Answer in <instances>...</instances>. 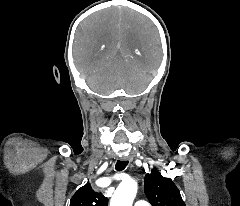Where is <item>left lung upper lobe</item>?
<instances>
[{"instance_id": "obj_1", "label": "left lung upper lobe", "mask_w": 240, "mask_h": 206, "mask_svg": "<svg viewBox=\"0 0 240 206\" xmlns=\"http://www.w3.org/2000/svg\"><path fill=\"white\" fill-rule=\"evenodd\" d=\"M145 193L152 206H185L180 192L170 178L152 171L145 176Z\"/></svg>"}]
</instances>
